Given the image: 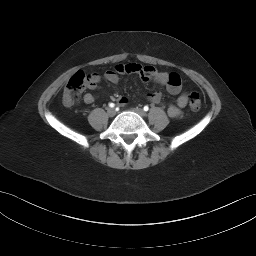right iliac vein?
<instances>
[{
    "mask_svg": "<svg viewBox=\"0 0 256 256\" xmlns=\"http://www.w3.org/2000/svg\"><path fill=\"white\" fill-rule=\"evenodd\" d=\"M107 114H108L109 117H114L115 114H116V111L112 108H108L107 109Z\"/></svg>",
    "mask_w": 256,
    "mask_h": 256,
    "instance_id": "obj_1",
    "label": "right iliac vein"
}]
</instances>
